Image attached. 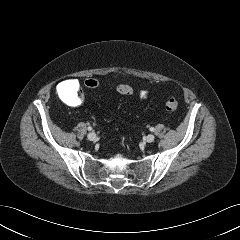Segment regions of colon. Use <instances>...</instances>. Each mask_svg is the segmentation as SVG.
Returning a JSON list of instances; mask_svg holds the SVG:
<instances>
[{"label":"colon","instance_id":"colon-1","mask_svg":"<svg viewBox=\"0 0 240 240\" xmlns=\"http://www.w3.org/2000/svg\"><path fill=\"white\" fill-rule=\"evenodd\" d=\"M85 86L87 88H90V89H95L99 86V81L95 78H88L85 80ZM61 90L62 92H64L65 90H74V85L72 84V82L69 80V81H66L64 82L62 85H61ZM117 91L118 93L122 94V95H130L133 90L132 88L127 85V84H120L117 86ZM147 96V93L142 91L139 93V97L144 99L146 98ZM179 106V102L178 100L175 98V97H168L166 102H165V107L168 111H175Z\"/></svg>","mask_w":240,"mask_h":240}]
</instances>
